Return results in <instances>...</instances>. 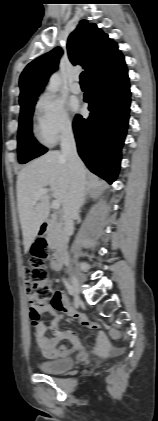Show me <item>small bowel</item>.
<instances>
[{
	"label": "small bowel",
	"mask_w": 158,
	"mask_h": 421,
	"mask_svg": "<svg viewBox=\"0 0 158 421\" xmlns=\"http://www.w3.org/2000/svg\"><path fill=\"white\" fill-rule=\"evenodd\" d=\"M36 311L39 314H48L50 316L47 322L39 320L32 322L36 348L48 358L63 357L70 352L71 349L67 345L59 346L62 340H69L74 346L79 344L75 330H62L59 328L61 322L60 313L74 318L79 327L96 334L99 351L104 350L108 345L107 340L98 335L97 326L83 314L77 312L69 300L58 290L54 292L53 298L49 303L37 307Z\"/></svg>",
	"instance_id": "small-bowel-1"
}]
</instances>
